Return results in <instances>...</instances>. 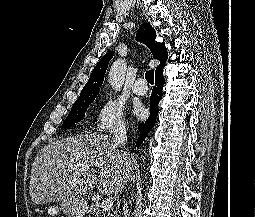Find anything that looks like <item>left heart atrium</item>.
Here are the masks:
<instances>
[{
	"mask_svg": "<svg viewBox=\"0 0 255 217\" xmlns=\"http://www.w3.org/2000/svg\"><path fill=\"white\" fill-rule=\"evenodd\" d=\"M134 113L138 118H142L145 115V109L141 105H136L134 108Z\"/></svg>",
	"mask_w": 255,
	"mask_h": 217,
	"instance_id": "1",
	"label": "left heart atrium"
}]
</instances>
